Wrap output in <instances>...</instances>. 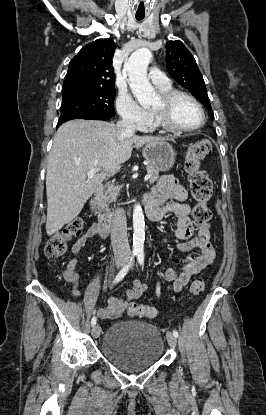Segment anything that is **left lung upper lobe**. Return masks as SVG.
<instances>
[{"label":"left lung upper lobe","mask_w":266,"mask_h":415,"mask_svg":"<svg viewBox=\"0 0 266 415\" xmlns=\"http://www.w3.org/2000/svg\"><path fill=\"white\" fill-rule=\"evenodd\" d=\"M166 65L170 75L189 90L208 109L211 119H214L204 79L194 57L181 41L166 43Z\"/></svg>","instance_id":"left-lung-upper-lobe-1"}]
</instances>
